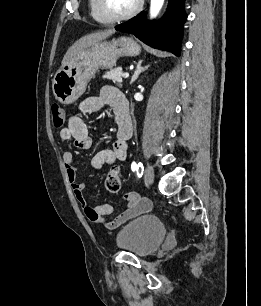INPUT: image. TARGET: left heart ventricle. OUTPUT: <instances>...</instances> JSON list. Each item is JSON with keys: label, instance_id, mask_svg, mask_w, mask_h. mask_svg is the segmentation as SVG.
Returning a JSON list of instances; mask_svg holds the SVG:
<instances>
[{"label": "left heart ventricle", "instance_id": "1", "mask_svg": "<svg viewBox=\"0 0 261 306\" xmlns=\"http://www.w3.org/2000/svg\"><path fill=\"white\" fill-rule=\"evenodd\" d=\"M111 9L117 14H124L134 8L138 0H108Z\"/></svg>", "mask_w": 261, "mask_h": 306}]
</instances>
